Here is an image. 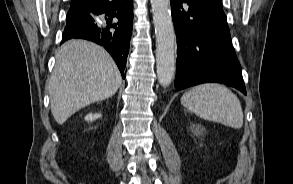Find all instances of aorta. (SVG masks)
Instances as JSON below:
<instances>
[{"label": "aorta", "mask_w": 293, "mask_h": 184, "mask_svg": "<svg viewBox=\"0 0 293 184\" xmlns=\"http://www.w3.org/2000/svg\"><path fill=\"white\" fill-rule=\"evenodd\" d=\"M156 35V72L162 87L171 84L175 74V33L170 0H151Z\"/></svg>", "instance_id": "1"}]
</instances>
